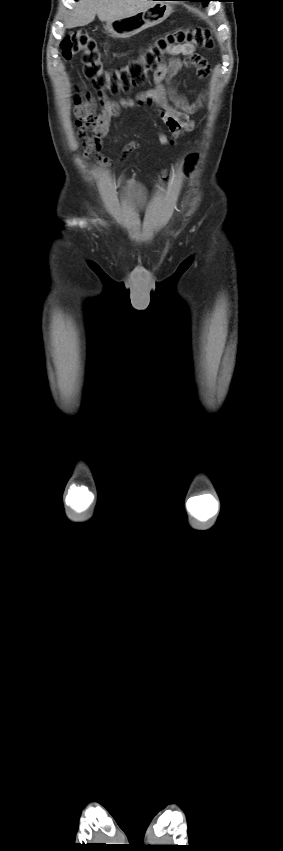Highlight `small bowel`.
I'll return each mask as SVG.
<instances>
[{
  "mask_svg": "<svg viewBox=\"0 0 283 851\" xmlns=\"http://www.w3.org/2000/svg\"><path fill=\"white\" fill-rule=\"evenodd\" d=\"M169 59L164 61L154 73L155 87L141 95L135 100L120 99L110 101L107 96L99 93L101 111L96 113V99L88 91L82 90L73 97L74 114L77 117L78 136L85 147V156L94 157L103 165L110 164V160L101 154L103 138L110 128V121L119 115L121 109L140 107L143 105L154 106L159 113L160 119L171 133L168 138L165 133L158 131V139L162 145L173 144L183 133L192 131L194 122L190 115L196 113L204 106L205 95L201 94L196 101L190 103L185 97L179 95L171 85V79L182 69L194 66L200 77H206L209 66L206 61L195 51L193 45L174 46L170 49ZM180 56H185L181 59ZM92 129L93 134L87 135V130ZM137 148L135 142L129 143L123 150L125 157Z\"/></svg>",
  "mask_w": 283,
  "mask_h": 851,
  "instance_id": "c3829d8e",
  "label": "small bowel"
}]
</instances>
